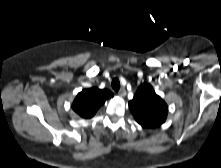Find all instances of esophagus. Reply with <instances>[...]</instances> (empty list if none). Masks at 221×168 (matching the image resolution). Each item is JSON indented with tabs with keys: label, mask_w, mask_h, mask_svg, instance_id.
Listing matches in <instances>:
<instances>
[{
	"label": "esophagus",
	"mask_w": 221,
	"mask_h": 168,
	"mask_svg": "<svg viewBox=\"0 0 221 168\" xmlns=\"http://www.w3.org/2000/svg\"><path fill=\"white\" fill-rule=\"evenodd\" d=\"M118 95H119L120 97H124V96L126 95V90H125V88H121V89L119 90V92H118Z\"/></svg>",
	"instance_id": "esophagus-1"
}]
</instances>
